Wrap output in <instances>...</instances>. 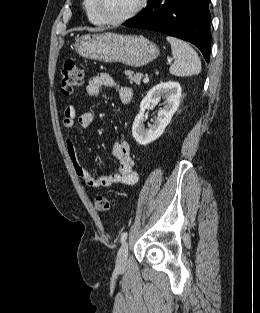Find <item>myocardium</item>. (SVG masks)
Wrapping results in <instances>:
<instances>
[{
    "label": "myocardium",
    "mask_w": 260,
    "mask_h": 313,
    "mask_svg": "<svg viewBox=\"0 0 260 313\" xmlns=\"http://www.w3.org/2000/svg\"><path fill=\"white\" fill-rule=\"evenodd\" d=\"M145 1L146 0H137L135 6L126 15L119 17V18H109L105 16L100 7V0H93V7H94L96 14L98 15V17L101 19V21L104 24L119 25L137 16L141 12V10L144 8Z\"/></svg>",
    "instance_id": "1"
}]
</instances>
